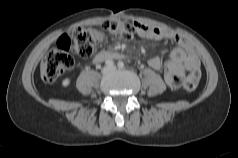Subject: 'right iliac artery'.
<instances>
[{
    "label": "right iliac artery",
    "mask_w": 238,
    "mask_h": 158,
    "mask_svg": "<svg viewBox=\"0 0 238 158\" xmlns=\"http://www.w3.org/2000/svg\"><path fill=\"white\" fill-rule=\"evenodd\" d=\"M106 65L111 67V66L114 65V62L109 59V60L106 61Z\"/></svg>",
    "instance_id": "right-iliac-artery-1"
}]
</instances>
